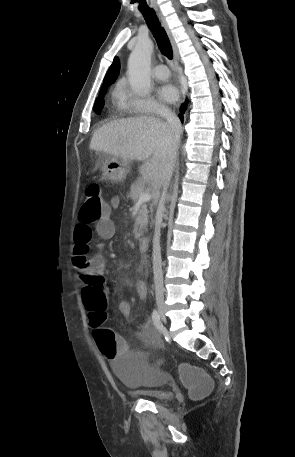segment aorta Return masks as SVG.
<instances>
[{"mask_svg": "<svg viewBox=\"0 0 295 457\" xmlns=\"http://www.w3.org/2000/svg\"><path fill=\"white\" fill-rule=\"evenodd\" d=\"M153 47L151 40H140L128 59L129 83L138 95H146L151 88L150 64Z\"/></svg>", "mask_w": 295, "mask_h": 457, "instance_id": "762f6f07", "label": "aorta"}]
</instances>
